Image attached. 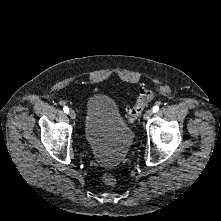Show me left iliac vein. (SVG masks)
Here are the masks:
<instances>
[{"mask_svg": "<svg viewBox=\"0 0 221 221\" xmlns=\"http://www.w3.org/2000/svg\"><path fill=\"white\" fill-rule=\"evenodd\" d=\"M152 114H153L152 110H147L146 113L143 116V119L148 120L152 116Z\"/></svg>", "mask_w": 221, "mask_h": 221, "instance_id": "4c4485c4", "label": "left iliac vein"}]
</instances>
